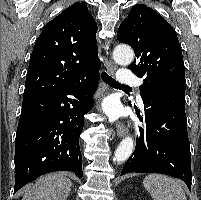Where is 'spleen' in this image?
I'll use <instances>...</instances> for the list:
<instances>
[{
  "label": "spleen",
  "instance_id": "1",
  "mask_svg": "<svg viewBox=\"0 0 201 200\" xmlns=\"http://www.w3.org/2000/svg\"><path fill=\"white\" fill-rule=\"evenodd\" d=\"M143 185L153 200H187L182 185L171 177L150 174L143 180Z\"/></svg>",
  "mask_w": 201,
  "mask_h": 200
}]
</instances>
